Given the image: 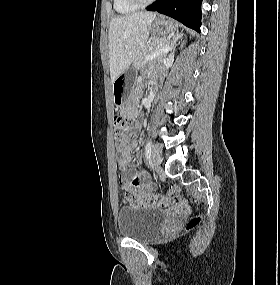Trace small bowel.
<instances>
[{"label": "small bowel", "mask_w": 280, "mask_h": 285, "mask_svg": "<svg viewBox=\"0 0 280 285\" xmlns=\"http://www.w3.org/2000/svg\"><path fill=\"white\" fill-rule=\"evenodd\" d=\"M131 118H135V113L129 109L123 111ZM137 147L136 140H126L118 145V152L120 154L117 165L121 171L120 184L122 188L126 190H135V192H147L151 191L153 185L148 181L147 173L141 170L142 160L139 159L135 164L131 163L130 152ZM133 171V176L129 178L127 176V170Z\"/></svg>", "instance_id": "c3829d8e"}]
</instances>
